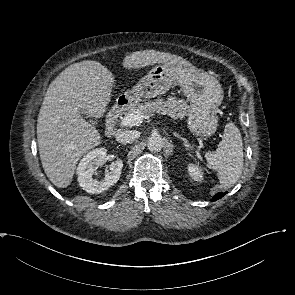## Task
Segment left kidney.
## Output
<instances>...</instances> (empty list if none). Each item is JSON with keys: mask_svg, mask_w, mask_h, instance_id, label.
Returning a JSON list of instances; mask_svg holds the SVG:
<instances>
[{"mask_svg": "<svg viewBox=\"0 0 295 295\" xmlns=\"http://www.w3.org/2000/svg\"><path fill=\"white\" fill-rule=\"evenodd\" d=\"M187 169H188L189 175L191 176L193 180L199 181V182L203 180V172L198 166L194 164H189Z\"/></svg>", "mask_w": 295, "mask_h": 295, "instance_id": "1", "label": "left kidney"}]
</instances>
